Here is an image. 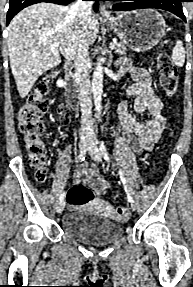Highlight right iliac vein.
Masks as SVG:
<instances>
[{"label":"right iliac vein","mask_w":193,"mask_h":287,"mask_svg":"<svg viewBox=\"0 0 193 287\" xmlns=\"http://www.w3.org/2000/svg\"><path fill=\"white\" fill-rule=\"evenodd\" d=\"M90 143L91 140L89 138H82L79 142V151L86 152ZM64 207H65V201L62 200L56 206L57 213H61L64 210Z\"/></svg>","instance_id":"obj_1"}]
</instances>
